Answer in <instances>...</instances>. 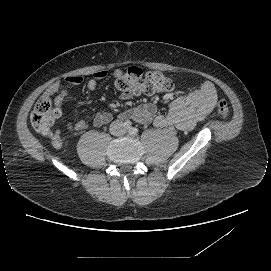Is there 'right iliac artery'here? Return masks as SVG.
Returning a JSON list of instances; mask_svg holds the SVG:
<instances>
[{
    "label": "right iliac artery",
    "mask_w": 271,
    "mask_h": 271,
    "mask_svg": "<svg viewBox=\"0 0 271 271\" xmlns=\"http://www.w3.org/2000/svg\"><path fill=\"white\" fill-rule=\"evenodd\" d=\"M124 127H125L126 129H129V128L131 127V122H130V121H125V122H124Z\"/></svg>",
    "instance_id": "82829eb1"
}]
</instances>
